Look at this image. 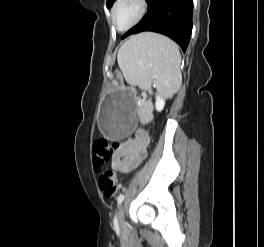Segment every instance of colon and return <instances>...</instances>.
Wrapping results in <instances>:
<instances>
[{
    "instance_id": "colon-1",
    "label": "colon",
    "mask_w": 264,
    "mask_h": 247,
    "mask_svg": "<svg viewBox=\"0 0 264 247\" xmlns=\"http://www.w3.org/2000/svg\"><path fill=\"white\" fill-rule=\"evenodd\" d=\"M118 147V143L110 144L105 139H100L93 144V164L96 171L111 159L113 150ZM98 185L105 197H113L119 191V184L116 174L112 170H105L98 178Z\"/></svg>"
}]
</instances>
